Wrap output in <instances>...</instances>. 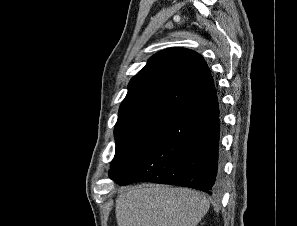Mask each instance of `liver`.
I'll return each instance as SVG.
<instances>
[{
  "label": "liver",
  "instance_id": "6515ba94",
  "mask_svg": "<svg viewBox=\"0 0 297 226\" xmlns=\"http://www.w3.org/2000/svg\"><path fill=\"white\" fill-rule=\"evenodd\" d=\"M210 207L200 192L161 185H138L116 199L118 226H196Z\"/></svg>",
  "mask_w": 297,
  "mask_h": 226
}]
</instances>
